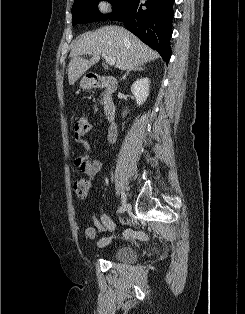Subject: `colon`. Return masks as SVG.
<instances>
[{
    "label": "colon",
    "instance_id": "1",
    "mask_svg": "<svg viewBox=\"0 0 245 314\" xmlns=\"http://www.w3.org/2000/svg\"><path fill=\"white\" fill-rule=\"evenodd\" d=\"M91 174L87 171L77 178L73 183V188L79 198H86L90 190Z\"/></svg>",
    "mask_w": 245,
    "mask_h": 314
}]
</instances>
